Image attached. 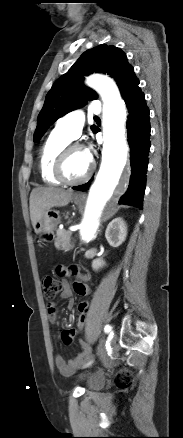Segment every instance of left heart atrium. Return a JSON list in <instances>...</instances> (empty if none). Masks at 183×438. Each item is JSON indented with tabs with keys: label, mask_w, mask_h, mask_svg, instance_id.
Segmentation results:
<instances>
[{
	"label": "left heart atrium",
	"mask_w": 183,
	"mask_h": 438,
	"mask_svg": "<svg viewBox=\"0 0 183 438\" xmlns=\"http://www.w3.org/2000/svg\"><path fill=\"white\" fill-rule=\"evenodd\" d=\"M85 152H86L87 157L90 159V157H91L90 151L86 150Z\"/></svg>",
	"instance_id": "39dd6f15"
}]
</instances>
